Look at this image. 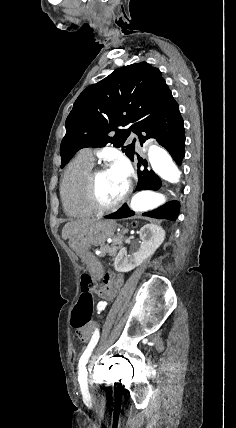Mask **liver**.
Listing matches in <instances>:
<instances>
[{"label": "liver", "instance_id": "1", "mask_svg": "<svg viewBox=\"0 0 236 428\" xmlns=\"http://www.w3.org/2000/svg\"><path fill=\"white\" fill-rule=\"evenodd\" d=\"M96 220H73L65 224L62 230L63 240H71V238H77L81 232H83L86 226H91Z\"/></svg>", "mask_w": 236, "mask_h": 428}]
</instances>
